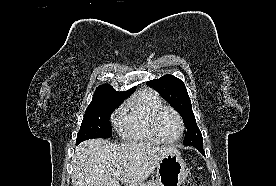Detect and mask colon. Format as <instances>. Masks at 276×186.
Here are the masks:
<instances>
[{"instance_id": "colon-1", "label": "colon", "mask_w": 276, "mask_h": 186, "mask_svg": "<svg viewBox=\"0 0 276 186\" xmlns=\"http://www.w3.org/2000/svg\"><path fill=\"white\" fill-rule=\"evenodd\" d=\"M185 186H204L202 179L194 177L190 179Z\"/></svg>"}]
</instances>
